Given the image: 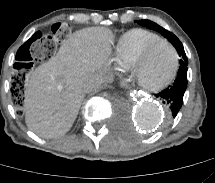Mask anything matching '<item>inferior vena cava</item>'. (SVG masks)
I'll return each mask as SVG.
<instances>
[{
  "label": "inferior vena cava",
  "instance_id": "inferior-vena-cava-1",
  "mask_svg": "<svg viewBox=\"0 0 215 183\" xmlns=\"http://www.w3.org/2000/svg\"><path fill=\"white\" fill-rule=\"evenodd\" d=\"M105 82V76H100L96 80H89L83 84V91L91 93L97 91Z\"/></svg>",
  "mask_w": 215,
  "mask_h": 183
}]
</instances>
